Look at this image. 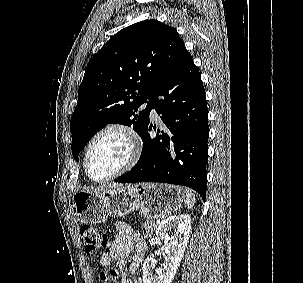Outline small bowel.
<instances>
[{"label":"small bowel","instance_id":"small-bowel-1","mask_svg":"<svg viewBox=\"0 0 303 283\" xmlns=\"http://www.w3.org/2000/svg\"><path fill=\"white\" fill-rule=\"evenodd\" d=\"M146 252V243L141 235L123 223L117 224V232L113 238L108 252L100 256V263L103 267H110L115 261L120 268H123L125 259L133 253L129 269L134 273L142 264ZM121 283H131L126 273L120 276ZM134 283H143L141 278H136Z\"/></svg>","mask_w":303,"mask_h":283}]
</instances>
